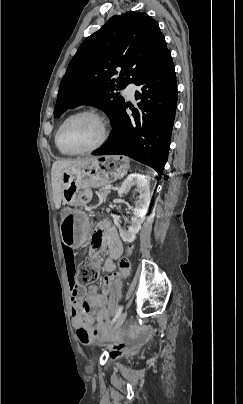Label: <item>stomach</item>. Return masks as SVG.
<instances>
[{"label": "stomach", "instance_id": "0dacf381", "mask_svg": "<svg viewBox=\"0 0 243 404\" xmlns=\"http://www.w3.org/2000/svg\"><path fill=\"white\" fill-rule=\"evenodd\" d=\"M129 169V160L119 155H104L82 159L66 168L62 175L63 202L61 235L63 243L70 248L82 246L90 231L89 216L78 207H83L92 198L91 188L106 186L121 177Z\"/></svg>", "mask_w": 243, "mask_h": 404}]
</instances>
